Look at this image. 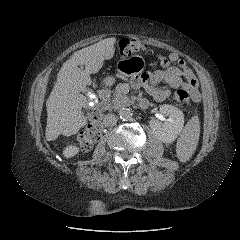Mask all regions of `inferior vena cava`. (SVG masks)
Instances as JSON below:
<instances>
[{
    "mask_svg": "<svg viewBox=\"0 0 240 240\" xmlns=\"http://www.w3.org/2000/svg\"><path fill=\"white\" fill-rule=\"evenodd\" d=\"M117 123V117L114 114H108L103 119V124L106 127H111L116 125Z\"/></svg>",
    "mask_w": 240,
    "mask_h": 240,
    "instance_id": "1",
    "label": "inferior vena cava"
}]
</instances>
